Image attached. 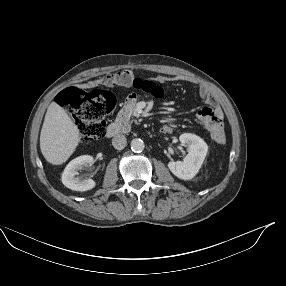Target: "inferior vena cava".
<instances>
[{
  "label": "inferior vena cava",
  "instance_id": "inferior-vena-cava-1",
  "mask_svg": "<svg viewBox=\"0 0 286 286\" xmlns=\"http://www.w3.org/2000/svg\"><path fill=\"white\" fill-rule=\"evenodd\" d=\"M126 144L127 139L124 135L119 134L112 139V145L117 150H122L123 148H125Z\"/></svg>",
  "mask_w": 286,
  "mask_h": 286
}]
</instances>
